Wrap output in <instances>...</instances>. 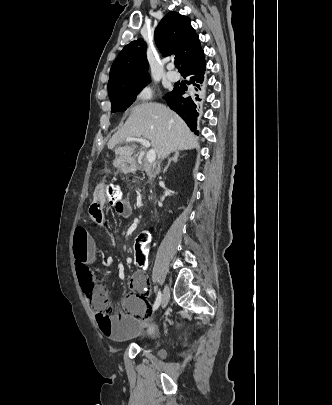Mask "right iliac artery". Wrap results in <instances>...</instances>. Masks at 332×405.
<instances>
[{
  "instance_id": "obj_1",
  "label": "right iliac artery",
  "mask_w": 332,
  "mask_h": 405,
  "mask_svg": "<svg viewBox=\"0 0 332 405\" xmlns=\"http://www.w3.org/2000/svg\"><path fill=\"white\" fill-rule=\"evenodd\" d=\"M161 296H162V294H161V292L159 291L158 294H157L155 303H154V305H153V308H152L153 310H156V309L159 307V305H160V303H161Z\"/></svg>"
}]
</instances>
